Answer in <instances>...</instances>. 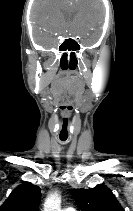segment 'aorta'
<instances>
[{
    "instance_id": "1",
    "label": "aorta",
    "mask_w": 133,
    "mask_h": 211,
    "mask_svg": "<svg viewBox=\"0 0 133 211\" xmlns=\"http://www.w3.org/2000/svg\"><path fill=\"white\" fill-rule=\"evenodd\" d=\"M44 211H61V197L57 192L48 195L44 203Z\"/></svg>"
}]
</instances>
